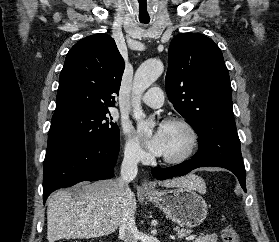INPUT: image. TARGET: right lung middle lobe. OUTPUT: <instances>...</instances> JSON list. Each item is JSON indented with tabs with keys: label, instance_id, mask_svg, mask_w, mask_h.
<instances>
[{
	"label": "right lung middle lobe",
	"instance_id": "right-lung-middle-lobe-1",
	"mask_svg": "<svg viewBox=\"0 0 279 242\" xmlns=\"http://www.w3.org/2000/svg\"><path fill=\"white\" fill-rule=\"evenodd\" d=\"M108 110L78 109L52 117L45 158L85 146L119 142V129Z\"/></svg>",
	"mask_w": 279,
	"mask_h": 242
}]
</instances>
